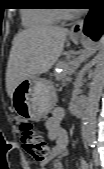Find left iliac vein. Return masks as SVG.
Instances as JSON below:
<instances>
[{"mask_svg":"<svg viewBox=\"0 0 104 169\" xmlns=\"http://www.w3.org/2000/svg\"><path fill=\"white\" fill-rule=\"evenodd\" d=\"M93 162L96 166L100 165V157H99V153L96 149L93 151Z\"/></svg>","mask_w":104,"mask_h":169,"instance_id":"obj_1","label":"left iliac vein"}]
</instances>
